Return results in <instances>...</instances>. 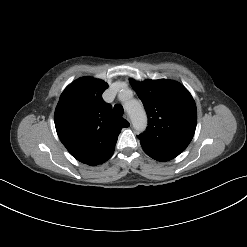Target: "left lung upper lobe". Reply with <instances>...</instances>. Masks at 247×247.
Masks as SVG:
<instances>
[{
    "label": "left lung upper lobe",
    "mask_w": 247,
    "mask_h": 247,
    "mask_svg": "<svg viewBox=\"0 0 247 247\" xmlns=\"http://www.w3.org/2000/svg\"><path fill=\"white\" fill-rule=\"evenodd\" d=\"M148 116L139 140L162 151L181 153L191 142L197 122L196 104L188 90L172 80L130 79Z\"/></svg>",
    "instance_id": "5c2ea615"
}]
</instances>
